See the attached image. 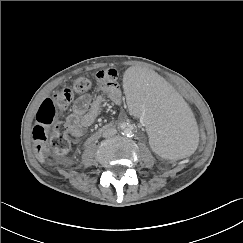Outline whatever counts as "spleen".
<instances>
[{
	"label": "spleen",
	"mask_w": 243,
	"mask_h": 243,
	"mask_svg": "<svg viewBox=\"0 0 243 243\" xmlns=\"http://www.w3.org/2000/svg\"><path fill=\"white\" fill-rule=\"evenodd\" d=\"M125 102L148 128L152 149L161 157L176 160L190 154L197 139V127L185 102L154 70L142 68L124 81Z\"/></svg>",
	"instance_id": "1"
}]
</instances>
